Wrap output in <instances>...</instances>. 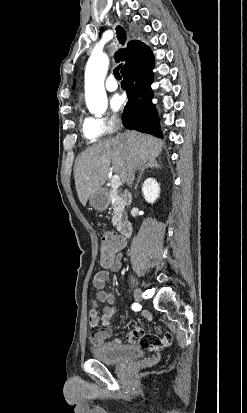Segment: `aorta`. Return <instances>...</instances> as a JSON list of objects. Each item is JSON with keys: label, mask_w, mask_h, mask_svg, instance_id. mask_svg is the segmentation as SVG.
<instances>
[{"label": "aorta", "mask_w": 247, "mask_h": 413, "mask_svg": "<svg viewBox=\"0 0 247 413\" xmlns=\"http://www.w3.org/2000/svg\"><path fill=\"white\" fill-rule=\"evenodd\" d=\"M109 59L103 53L91 54L85 69V100L89 111L100 116L107 109V95L104 80Z\"/></svg>", "instance_id": "obj_1"}]
</instances>
